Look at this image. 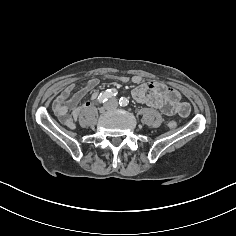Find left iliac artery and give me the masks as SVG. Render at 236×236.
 <instances>
[{"label":"left iliac artery","instance_id":"left-iliac-artery-1","mask_svg":"<svg viewBox=\"0 0 236 236\" xmlns=\"http://www.w3.org/2000/svg\"><path fill=\"white\" fill-rule=\"evenodd\" d=\"M128 103H129V101H128V99H126L125 97H122V98H120V100H119V104H120V106H122V107H126V106L128 105Z\"/></svg>","mask_w":236,"mask_h":236}]
</instances>
